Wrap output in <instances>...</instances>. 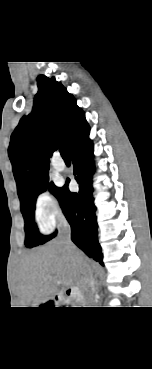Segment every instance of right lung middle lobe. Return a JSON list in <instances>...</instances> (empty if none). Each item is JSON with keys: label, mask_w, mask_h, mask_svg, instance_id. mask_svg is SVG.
<instances>
[{"label": "right lung middle lobe", "mask_w": 152, "mask_h": 369, "mask_svg": "<svg viewBox=\"0 0 152 369\" xmlns=\"http://www.w3.org/2000/svg\"><path fill=\"white\" fill-rule=\"evenodd\" d=\"M49 177L46 176L44 179L36 183L30 189L26 191L21 201V212L25 220V246L32 248L51 240L55 233L49 236H43L39 233L38 228L34 221V211L37 196L44 192L47 188L58 197L60 188H57L52 182H48Z\"/></svg>", "instance_id": "1"}]
</instances>
